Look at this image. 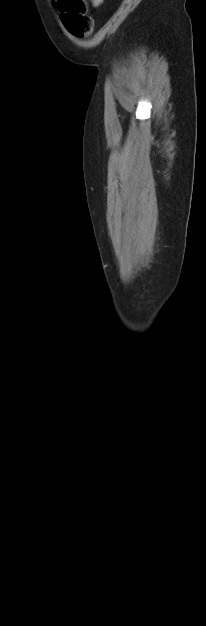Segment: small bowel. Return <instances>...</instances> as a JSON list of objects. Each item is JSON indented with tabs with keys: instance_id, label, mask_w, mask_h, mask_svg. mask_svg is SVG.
Instances as JSON below:
<instances>
[{
	"instance_id": "obj_1",
	"label": "small bowel",
	"mask_w": 206,
	"mask_h": 626,
	"mask_svg": "<svg viewBox=\"0 0 206 626\" xmlns=\"http://www.w3.org/2000/svg\"><path fill=\"white\" fill-rule=\"evenodd\" d=\"M94 6H99L103 0H89Z\"/></svg>"
}]
</instances>
